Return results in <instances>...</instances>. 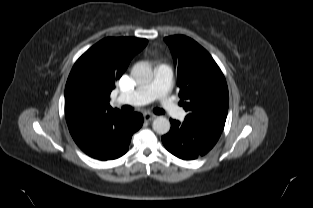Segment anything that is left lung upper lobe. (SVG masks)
<instances>
[{"label": "left lung upper lobe", "mask_w": 313, "mask_h": 208, "mask_svg": "<svg viewBox=\"0 0 313 208\" xmlns=\"http://www.w3.org/2000/svg\"><path fill=\"white\" fill-rule=\"evenodd\" d=\"M178 68L180 104L188 111L186 122L222 132L229 104L225 77L211 55L183 35L164 38Z\"/></svg>", "instance_id": "5c2ea615"}]
</instances>
